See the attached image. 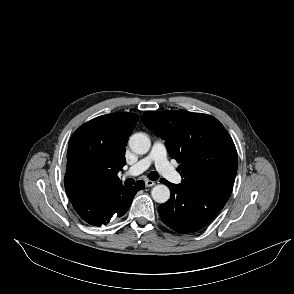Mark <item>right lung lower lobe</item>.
<instances>
[{"instance_id":"98d812e1","label":"right lung lower lobe","mask_w":294,"mask_h":294,"mask_svg":"<svg viewBox=\"0 0 294 294\" xmlns=\"http://www.w3.org/2000/svg\"><path fill=\"white\" fill-rule=\"evenodd\" d=\"M143 188V181H138L135 186H123L104 195L99 203L87 208H75V211L91 225H106L112 217L123 216L129 209L135 194Z\"/></svg>"}]
</instances>
